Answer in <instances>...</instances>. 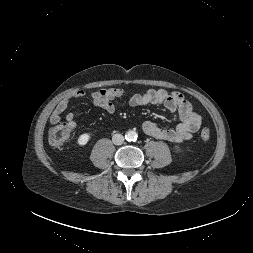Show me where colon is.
<instances>
[{"mask_svg": "<svg viewBox=\"0 0 253 253\" xmlns=\"http://www.w3.org/2000/svg\"><path fill=\"white\" fill-rule=\"evenodd\" d=\"M73 127L70 123L64 122L52 127L49 131L48 140L53 147H62L69 140ZM200 137L203 140L210 138V130L203 128Z\"/></svg>", "mask_w": 253, "mask_h": 253, "instance_id": "5ec220e1", "label": "colon"}]
</instances>
